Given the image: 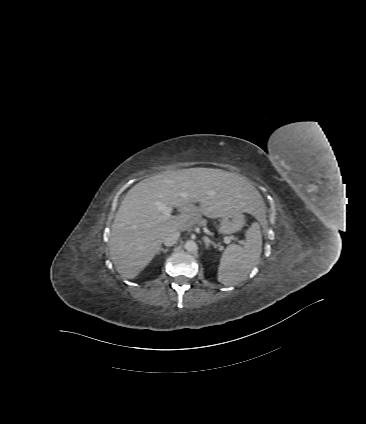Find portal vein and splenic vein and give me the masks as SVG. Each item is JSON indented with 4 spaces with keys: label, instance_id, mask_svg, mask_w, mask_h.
Listing matches in <instances>:
<instances>
[{
    "label": "portal vein and splenic vein",
    "instance_id": "1",
    "mask_svg": "<svg viewBox=\"0 0 366 424\" xmlns=\"http://www.w3.org/2000/svg\"><path fill=\"white\" fill-rule=\"evenodd\" d=\"M157 206L163 212V214H164L165 217H170L171 216V213L173 212V208L172 207L166 206L165 204L160 203V202L157 203ZM232 239H236L240 244H243V241L242 240H239L235 236L225 237L224 238V240H225L226 243L230 242V240H232Z\"/></svg>",
    "mask_w": 366,
    "mask_h": 424
}]
</instances>
